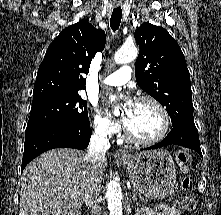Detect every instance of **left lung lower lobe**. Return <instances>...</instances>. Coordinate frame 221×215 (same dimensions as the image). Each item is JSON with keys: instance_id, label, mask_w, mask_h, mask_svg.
Returning a JSON list of instances; mask_svg holds the SVG:
<instances>
[{"instance_id": "0a47b994", "label": "left lung lower lobe", "mask_w": 221, "mask_h": 215, "mask_svg": "<svg viewBox=\"0 0 221 215\" xmlns=\"http://www.w3.org/2000/svg\"><path fill=\"white\" fill-rule=\"evenodd\" d=\"M180 145L197 151L201 156L198 130L196 126H176L173 127L167 137L160 143L146 148V150L157 149L167 145Z\"/></svg>"}]
</instances>
